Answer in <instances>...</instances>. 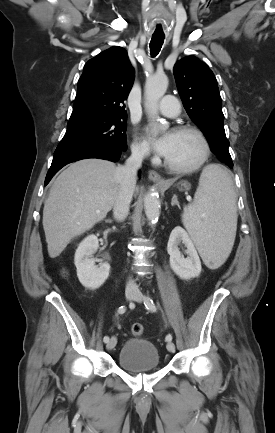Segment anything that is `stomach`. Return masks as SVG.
<instances>
[{
	"mask_svg": "<svg viewBox=\"0 0 275 433\" xmlns=\"http://www.w3.org/2000/svg\"><path fill=\"white\" fill-rule=\"evenodd\" d=\"M177 187L180 191H188L190 189V185L185 181L180 182Z\"/></svg>",
	"mask_w": 275,
	"mask_h": 433,
	"instance_id": "1",
	"label": "stomach"
}]
</instances>
